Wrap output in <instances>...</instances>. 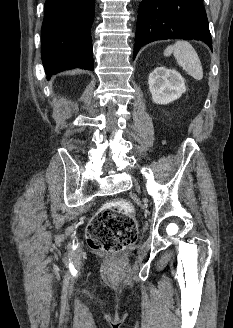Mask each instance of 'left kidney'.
Listing matches in <instances>:
<instances>
[{"mask_svg":"<svg viewBox=\"0 0 233 328\" xmlns=\"http://www.w3.org/2000/svg\"><path fill=\"white\" fill-rule=\"evenodd\" d=\"M149 90L156 104L167 105L186 91L183 77L174 69L157 67L149 74Z\"/></svg>","mask_w":233,"mask_h":328,"instance_id":"1","label":"left kidney"}]
</instances>
